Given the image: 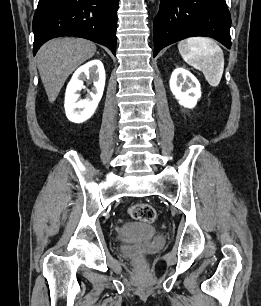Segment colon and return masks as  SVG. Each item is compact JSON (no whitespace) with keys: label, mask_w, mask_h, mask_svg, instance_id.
<instances>
[{"label":"colon","mask_w":261,"mask_h":306,"mask_svg":"<svg viewBox=\"0 0 261 306\" xmlns=\"http://www.w3.org/2000/svg\"><path fill=\"white\" fill-rule=\"evenodd\" d=\"M128 213L132 218L149 224L153 223L157 217L154 207L146 203L132 205Z\"/></svg>","instance_id":"colon-1"}]
</instances>
